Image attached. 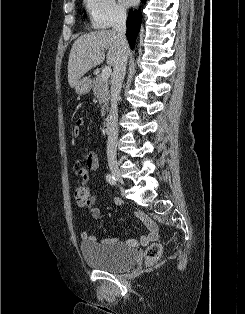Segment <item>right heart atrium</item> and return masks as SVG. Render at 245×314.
Segmentation results:
<instances>
[{
	"instance_id": "d8ad5b80",
	"label": "right heart atrium",
	"mask_w": 245,
	"mask_h": 314,
	"mask_svg": "<svg viewBox=\"0 0 245 314\" xmlns=\"http://www.w3.org/2000/svg\"><path fill=\"white\" fill-rule=\"evenodd\" d=\"M90 21L95 29H107L121 23L126 16L124 8L115 0H86Z\"/></svg>"
}]
</instances>
